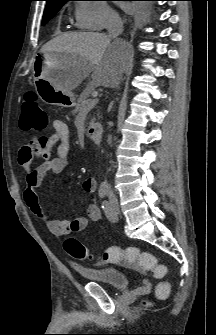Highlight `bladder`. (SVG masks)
Here are the masks:
<instances>
[{
    "instance_id": "31cf9c89",
    "label": "bladder",
    "mask_w": 216,
    "mask_h": 335,
    "mask_svg": "<svg viewBox=\"0 0 216 335\" xmlns=\"http://www.w3.org/2000/svg\"><path fill=\"white\" fill-rule=\"evenodd\" d=\"M75 271L87 280L101 283L112 289H126L129 286L128 274L113 267H75Z\"/></svg>"
}]
</instances>
